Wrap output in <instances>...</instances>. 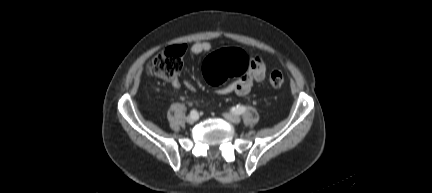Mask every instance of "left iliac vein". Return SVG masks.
Segmentation results:
<instances>
[{
	"label": "left iliac vein",
	"instance_id": "4c4485c4",
	"mask_svg": "<svg viewBox=\"0 0 432 193\" xmlns=\"http://www.w3.org/2000/svg\"><path fill=\"white\" fill-rule=\"evenodd\" d=\"M224 117H225L228 121H230V122H232V123H235V124H238V123L241 121L240 116H238V115H236V114L226 113V114L224 115Z\"/></svg>",
	"mask_w": 432,
	"mask_h": 193
}]
</instances>
